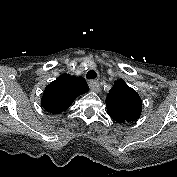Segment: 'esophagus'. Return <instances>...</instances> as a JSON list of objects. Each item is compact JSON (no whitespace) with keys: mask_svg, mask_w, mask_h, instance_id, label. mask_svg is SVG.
I'll return each instance as SVG.
<instances>
[{"mask_svg":"<svg viewBox=\"0 0 177 177\" xmlns=\"http://www.w3.org/2000/svg\"><path fill=\"white\" fill-rule=\"evenodd\" d=\"M88 86L91 91L96 92V93L100 92L101 90L99 83L95 80H90L88 82Z\"/></svg>","mask_w":177,"mask_h":177,"instance_id":"obj_1","label":"esophagus"}]
</instances>
